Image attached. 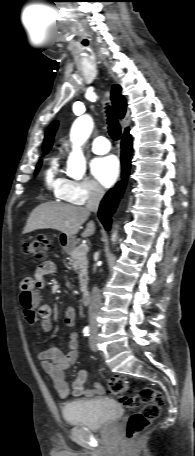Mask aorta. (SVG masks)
Returning a JSON list of instances; mask_svg holds the SVG:
<instances>
[{
  "instance_id": "obj_1",
  "label": "aorta",
  "mask_w": 195,
  "mask_h": 456,
  "mask_svg": "<svg viewBox=\"0 0 195 456\" xmlns=\"http://www.w3.org/2000/svg\"><path fill=\"white\" fill-rule=\"evenodd\" d=\"M93 125L92 118L86 115L77 118L72 125L70 139L73 147L67 160V174L73 178H81L85 174L86 160L81 146L89 138ZM115 238L116 234H113L112 239Z\"/></svg>"
}]
</instances>
